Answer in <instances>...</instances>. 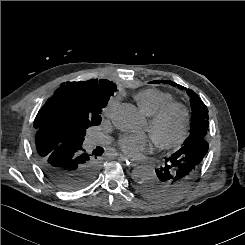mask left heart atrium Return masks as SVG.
Here are the masks:
<instances>
[{"label":"left heart atrium","instance_id":"1","mask_svg":"<svg viewBox=\"0 0 245 245\" xmlns=\"http://www.w3.org/2000/svg\"><path fill=\"white\" fill-rule=\"evenodd\" d=\"M121 151L133 159H141L152 149V143L148 136L145 135H127L119 140Z\"/></svg>","mask_w":245,"mask_h":245}]
</instances>
